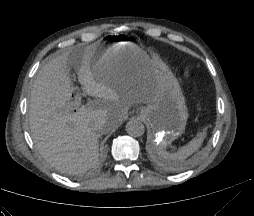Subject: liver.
I'll use <instances>...</instances> for the list:
<instances>
[{
  "instance_id": "1",
  "label": "liver",
  "mask_w": 254,
  "mask_h": 216,
  "mask_svg": "<svg viewBox=\"0 0 254 216\" xmlns=\"http://www.w3.org/2000/svg\"><path fill=\"white\" fill-rule=\"evenodd\" d=\"M93 43L72 58L78 64V81L84 92L96 98L71 112L68 101L75 88L70 78V55L65 52L45 64L32 87L29 125L32 139L42 157L55 169L81 174L99 157L98 138L114 130L133 104H147L155 79L143 68L135 71L97 73ZM104 122L100 130L94 128Z\"/></svg>"
}]
</instances>
